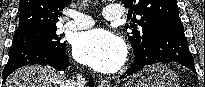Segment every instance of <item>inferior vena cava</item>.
I'll use <instances>...</instances> for the list:
<instances>
[{"instance_id": "inferior-vena-cava-1", "label": "inferior vena cava", "mask_w": 205, "mask_h": 87, "mask_svg": "<svg viewBox=\"0 0 205 87\" xmlns=\"http://www.w3.org/2000/svg\"><path fill=\"white\" fill-rule=\"evenodd\" d=\"M86 84L82 75H78L75 82H68V87H84Z\"/></svg>"}]
</instances>
